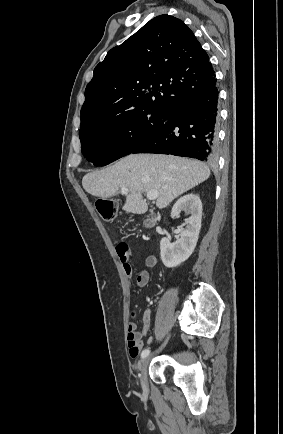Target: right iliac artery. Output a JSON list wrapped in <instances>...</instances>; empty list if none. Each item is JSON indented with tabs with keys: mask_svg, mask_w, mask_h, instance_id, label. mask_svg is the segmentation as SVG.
I'll return each instance as SVG.
<instances>
[{
	"mask_svg": "<svg viewBox=\"0 0 283 434\" xmlns=\"http://www.w3.org/2000/svg\"><path fill=\"white\" fill-rule=\"evenodd\" d=\"M150 354V350L149 349H144L141 353V358L144 359L146 358L148 355Z\"/></svg>",
	"mask_w": 283,
	"mask_h": 434,
	"instance_id": "right-iliac-artery-1",
	"label": "right iliac artery"
}]
</instances>
